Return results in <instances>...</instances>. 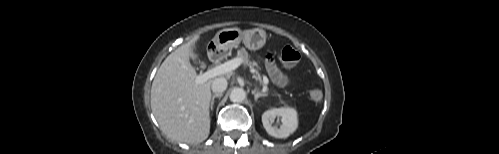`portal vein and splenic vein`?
<instances>
[{
	"label": "portal vein and splenic vein",
	"mask_w": 499,
	"mask_h": 154,
	"mask_svg": "<svg viewBox=\"0 0 499 154\" xmlns=\"http://www.w3.org/2000/svg\"><path fill=\"white\" fill-rule=\"evenodd\" d=\"M241 63H242V59L238 58V57L234 58L232 60H229L223 64H220L212 69L207 70L206 72H204L202 74L197 75L194 78V82L196 84H203L204 82L208 81L209 79H212L216 76L223 75V74H226V73H229V72L235 70L236 68H238L241 65ZM252 72H253V70H252ZM263 81H264L265 85L268 83V79L266 77H264ZM263 89L266 90V86Z\"/></svg>",
	"instance_id": "portal-vein-and-splenic-vein-1"
}]
</instances>
